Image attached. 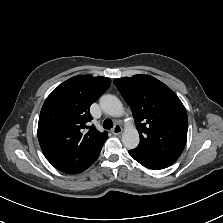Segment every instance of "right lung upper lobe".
<instances>
[{
    "mask_svg": "<svg viewBox=\"0 0 223 223\" xmlns=\"http://www.w3.org/2000/svg\"><path fill=\"white\" fill-rule=\"evenodd\" d=\"M111 85L109 78L78 75L55 88L45 100L38 139L47 160L58 170L77 174L98 158L107 139L88 122L89 108Z\"/></svg>",
    "mask_w": 223,
    "mask_h": 223,
    "instance_id": "right-lung-upper-lobe-1",
    "label": "right lung upper lobe"
}]
</instances>
